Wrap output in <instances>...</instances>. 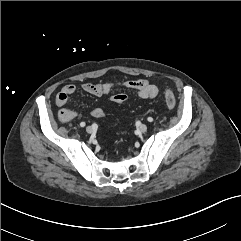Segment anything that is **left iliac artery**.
I'll list each match as a JSON object with an SVG mask.
<instances>
[{
	"instance_id": "obj_1",
	"label": "left iliac artery",
	"mask_w": 241,
	"mask_h": 241,
	"mask_svg": "<svg viewBox=\"0 0 241 241\" xmlns=\"http://www.w3.org/2000/svg\"><path fill=\"white\" fill-rule=\"evenodd\" d=\"M147 120H148L149 122H153V118H152V117H148Z\"/></svg>"
}]
</instances>
